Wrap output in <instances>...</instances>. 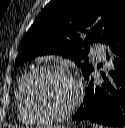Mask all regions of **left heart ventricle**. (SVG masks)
<instances>
[{
    "label": "left heart ventricle",
    "instance_id": "b2bd125f",
    "mask_svg": "<svg viewBox=\"0 0 125 128\" xmlns=\"http://www.w3.org/2000/svg\"><path fill=\"white\" fill-rule=\"evenodd\" d=\"M34 105L47 113H60L67 109L75 98L71 80L59 73H43L30 86Z\"/></svg>",
    "mask_w": 125,
    "mask_h": 128
}]
</instances>
